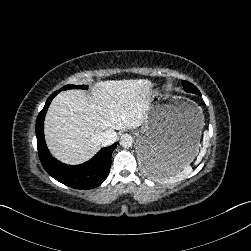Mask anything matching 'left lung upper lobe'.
<instances>
[{
    "instance_id": "1",
    "label": "left lung upper lobe",
    "mask_w": 251,
    "mask_h": 251,
    "mask_svg": "<svg viewBox=\"0 0 251 251\" xmlns=\"http://www.w3.org/2000/svg\"><path fill=\"white\" fill-rule=\"evenodd\" d=\"M182 84H183L184 90L186 92L195 93L197 95H201L200 91L192 83H190L188 81H182Z\"/></svg>"
}]
</instances>
